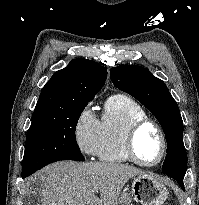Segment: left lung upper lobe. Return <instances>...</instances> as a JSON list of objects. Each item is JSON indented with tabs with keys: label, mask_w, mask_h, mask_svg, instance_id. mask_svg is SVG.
Instances as JSON below:
<instances>
[{
	"label": "left lung upper lobe",
	"mask_w": 199,
	"mask_h": 205,
	"mask_svg": "<svg viewBox=\"0 0 199 205\" xmlns=\"http://www.w3.org/2000/svg\"><path fill=\"white\" fill-rule=\"evenodd\" d=\"M113 84L142 103L159 121L165 133L167 155L162 172L182 181L187 170V153L183 143V121L179 107L165 83L148 69L121 65L110 70Z\"/></svg>",
	"instance_id": "5c2ea615"
}]
</instances>
